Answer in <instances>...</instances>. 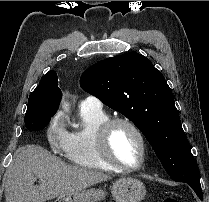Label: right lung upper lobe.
Masks as SVG:
<instances>
[{"mask_svg": "<svg viewBox=\"0 0 209 202\" xmlns=\"http://www.w3.org/2000/svg\"><path fill=\"white\" fill-rule=\"evenodd\" d=\"M42 86H50L56 91V96H55V101L54 104L56 106L59 105L60 100H61V90L58 88V77L57 73L53 70L47 72L42 78L37 87H42Z\"/></svg>", "mask_w": 209, "mask_h": 202, "instance_id": "cb5924a9", "label": "right lung upper lobe"}]
</instances>
